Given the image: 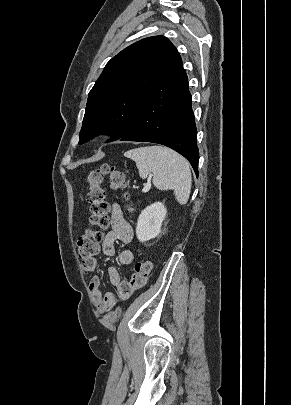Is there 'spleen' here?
<instances>
[{"label": "spleen", "mask_w": 291, "mask_h": 405, "mask_svg": "<svg viewBox=\"0 0 291 405\" xmlns=\"http://www.w3.org/2000/svg\"><path fill=\"white\" fill-rule=\"evenodd\" d=\"M125 157L136 162L141 178L153 175L159 190H174L176 200L184 205L191 191V172L187 161L170 148L146 146L125 152Z\"/></svg>", "instance_id": "1"}]
</instances>
